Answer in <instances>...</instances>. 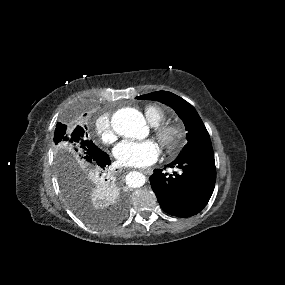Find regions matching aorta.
<instances>
[{
  "label": "aorta",
  "mask_w": 285,
  "mask_h": 285,
  "mask_svg": "<svg viewBox=\"0 0 285 285\" xmlns=\"http://www.w3.org/2000/svg\"><path fill=\"white\" fill-rule=\"evenodd\" d=\"M113 130L120 136L142 139L147 136L148 127L144 116L135 108H122L111 119ZM146 178L140 172H131L126 176L128 186L137 188L145 184Z\"/></svg>",
  "instance_id": "aorta-1"
}]
</instances>
